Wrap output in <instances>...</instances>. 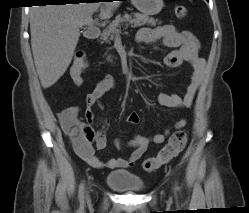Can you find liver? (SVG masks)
I'll use <instances>...</instances> for the list:
<instances>
[{
    "label": "liver",
    "instance_id": "6515ba94",
    "mask_svg": "<svg viewBox=\"0 0 249 213\" xmlns=\"http://www.w3.org/2000/svg\"><path fill=\"white\" fill-rule=\"evenodd\" d=\"M101 17L109 18L119 2H102ZM101 2L33 6L30 10L31 47L43 88L55 84L69 67L79 40V29Z\"/></svg>",
    "mask_w": 249,
    "mask_h": 213
}]
</instances>
